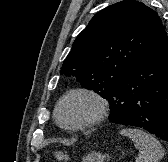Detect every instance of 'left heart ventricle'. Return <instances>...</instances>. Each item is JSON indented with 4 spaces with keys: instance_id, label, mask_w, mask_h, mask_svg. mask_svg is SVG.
I'll return each mask as SVG.
<instances>
[{
    "instance_id": "1",
    "label": "left heart ventricle",
    "mask_w": 168,
    "mask_h": 162,
    "mask_svg": "<svg viewBox=\"0 0 168 162\" xmlns=\"http://www.w3.org/2000/svg\"><path fill=\"white\" fill-rule=\"evenodd\" d=\"M94 111L93 104L85 99L73 98L61 108V121L67 125H75L88 118Z\"/></svg>"
}]
</instances>
